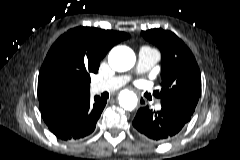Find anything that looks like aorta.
I'll use <instances>...</instances> for the list:
<instances>
[{
	"label": "aorta",
	"instance_id": "aorta-1",
	"mask_svg": "<svg viewBox=\"0 0 240 160\" xmlns=\"http://www.w3.org/2000/svg\"><path fill=\"white\" fill-rule=\"evenodd\" d=\"M135 60L134 52L126 46L114 47L108 55L110 67L118 72H124L131 69L135 64ZM137 102L138 99L136 94L131 91L124 90L119 95V104L125 110H133L136 108Z\"/></svg>",
	"mask_w": 240,
	"mask_h": 160
}]
</instances>
